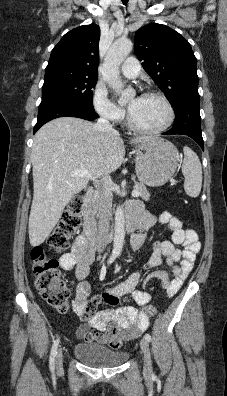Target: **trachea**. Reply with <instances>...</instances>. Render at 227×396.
Returning a JSON list of instances; mask_svg holds the SVG:
<instances>
[{
    "label": "trachea",
    "mask_w": 227,
    "mask_h": 396,
    "mask_svg": "<svg viewBox=\"0 0 227 396\" xmlns=\"http://www.w3.org/2000/svg\"><path fill=\"white\" fill-rule=\"evenodd\" d=\"M122 3H123L124 5H126V4L128 3V0H122Z\"/></svg>",
    "instance_id": "1"
}]
</instances>
